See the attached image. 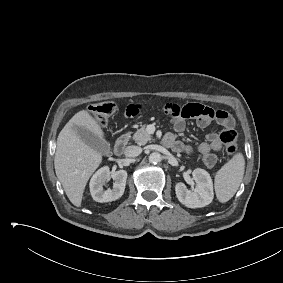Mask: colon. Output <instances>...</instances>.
Here are the masks:
<instances>
[{
	"label": "colon",
	"instance_id": "5ec220e1",
	"mask_svg": "<svg viewBox=\"0 0 283 283\" xmlns=\"http://www.w3.org/2000/svg\"><path fill=\"white\" fill-rule=\"evenodd\" d=\"M117 110V104L112 101L97 103L89 107L92 116L102 126L107 125L109 117L115 114ZM219 139L229 154H234L237 151V133L234 129H224L221 131Z\"/></svg>",
	"mask_w": 283,
	"mask_h": 283
}]
</instances>
